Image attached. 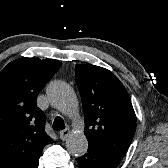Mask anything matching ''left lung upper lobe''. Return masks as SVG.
I'll list each match as a JSON object with an SVG mask.
<instances>
[{"mask_svg":"<svg viewBox=\"0 0 168 168\" xmlns=\"http://www.w3.org/2000/svg\"><path fill=\"white\" fill-rule=\"evenodd\" d=\"M75 67L89 147L122 160L136 130L135 112L125 87L105 68L90 64Z\"/></svg>","mask_w":168,"mask_h":168,"instance_id":"obj_1","label":"left lung upper lobe"}]
</instances>
